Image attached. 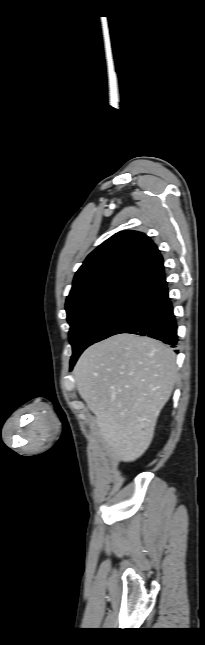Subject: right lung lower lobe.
<instances>
[{
  "instance_id": "obj_1",
  "label": "right lung lower lobe",
  "mask_w": 205,
  "mask_h": 645,
  "mask_svg": "<svg viewBox=\"0 0 205 645\" xmlns=\"http://www.w3.org/2000/svg\"><path fill=\"white\" fill-rule=\"evenodd\" d=\"M143 301L102 339L119 333H132L177 344V325L168 296L166 278L147 289Z\"/></svg>"
}]
</instances>
